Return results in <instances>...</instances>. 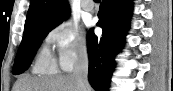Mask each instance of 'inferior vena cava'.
Returning a JSON list of instances; mask_svg holds the SVG:
<instances>
[{
  "label": "inferior vena cava",
  "mask_w": 173,
  "mask_h": 91,
  "mask_svg": "<svg viewBox=\"0 0 173 91\" xmlns=\"http://www.w3.org/2000/svg\"><path fill=\"white\" fill-rule=\"evenodd\" d=\"M88 54L87 50L84 49L80 52L76 63L74 65V70L72 76L75 78L79 91H88L89 83L87 79L88 75Z\"/></svg>",
  "instance_id": "602c4592"
}]
</instances>
